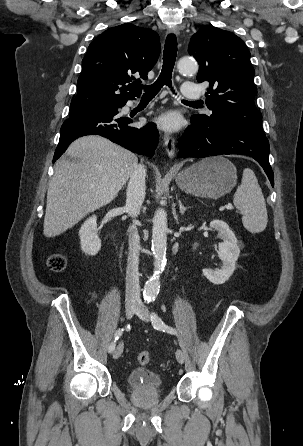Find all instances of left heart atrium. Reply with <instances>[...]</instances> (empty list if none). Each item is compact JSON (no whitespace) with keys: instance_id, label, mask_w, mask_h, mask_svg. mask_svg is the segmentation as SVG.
Segmentation results:
<instances>
[{"instance_id":"39dd6f15","label":"left heart atrium","mask_w":303,"mask_h":446,"mask_svg":"<svg viewBox=\"0 0 303 446\" xmlns=\"http://www.w3.org/2000/svg\"><path fill=\"white\" fill-rule=\"evenodd\" d=\"M157 123L160 127L166 130H175L179 126V117L173 112L163 114L157 119Z\"/></svg>"}]
</instances>
